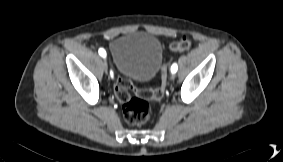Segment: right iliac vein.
Here are the masks:
<instances>
[{
  "instance_id": "63e3f726",
  "label": "right iliac vein",
  "mask_w": 283,
  "mask_h": 162,
  "mask_svg": "<svg viewBox=\"0 0 283 162\" xmlns=\"http://www.w3.org/2000/svg\"><path fill=\"white\" fill-rule=\"evenodd\" d=\"M102 66H103V69L107 72V70H108V64H107V61H106V60L103 61Z\"/></svg>"
}]
</instances>
